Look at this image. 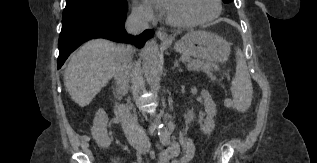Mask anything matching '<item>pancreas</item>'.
I'll return each instance as SVG.
<instances>
[{"instance_id": "pancreas-1", "label": "pancreas", "mask_w": 317, "mask_h": 163, "mask_svg": "<svg viewBox=\"0 0 317 163\" xmlns=\"http://www.w3.org/2000/svg\"><path fill=\"white\" fill-rule=\"evenodd\" d=\"M184 59L188 62L189 70H201L205 72L211 80H216V76L213 75V72L217 71L218 67L215 64L201 60H194L189 57H185Z\"/></svg>"}]
</instances>
